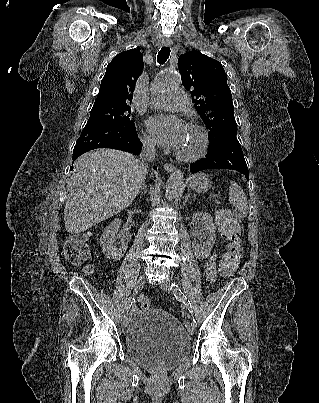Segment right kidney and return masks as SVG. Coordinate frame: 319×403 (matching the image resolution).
Segmentation results:
<instances>
[{
    "label": "right kidney",
    "instance_id": "1",
    "mask_svg": "<svg viewBox=\"0 0 319 403\" xmlns=\"http://www.w3.org/2000/svg\"><path fill=\"white\" fill-rule=\"evenodd\" d=\"M120 227L121 220L115 219L105 227L100 238V245L105 257L113 262L119 261L127 250V243L123 233H120Z\"/></svg>",
    "mask_w": 319,
    "mask_h": 403
}]
</instances>
